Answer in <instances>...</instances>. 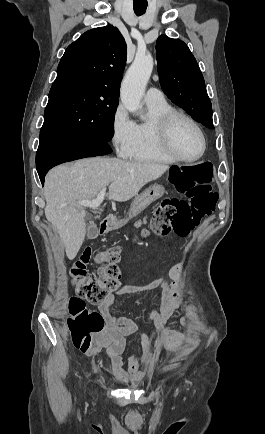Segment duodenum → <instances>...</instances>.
I'll list each match as a JSON object with an SVG mask.
<instances>
[{
    "label": "duodenum",
    "instance_id": "duodenum-1",
    "mask_svg": "<svg viewBox=\"0 0 265 434\" xmlns=\"http://www.w3.org/2000/svg\"><path fill=\"white\" fill-rule=\"evenodd\" d=\"M113 230V223L111 221H102V225L100 227L101 232H110Z\"/></svg>",
    "mask_w": 265,
    "mask_h": 434
}]
</instances>
